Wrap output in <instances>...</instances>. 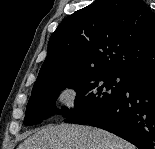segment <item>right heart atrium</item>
I'll list each match as a JSON object with an SVG mask.
<instances>
[{
	"instance_id": "obj_1",
	"label": "right heart atrium",
	"mask_w": 155,
	"mask_h": 149,
	"mask_svg": "<svg viewBox=\"0 0 155 149\" xmlns=\"http://www.w3.org/2000/svg\"><path fill=\"white\" fill-rule=\"evenodd\" d=\"M78 98V91L70 85L60 89L57 95L58 102L65 107H73Z\"/></svg>"
}]
</instances>
